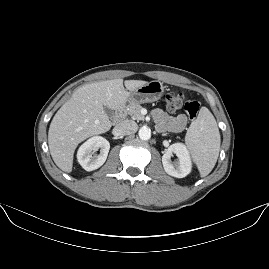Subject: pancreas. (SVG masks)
Segmentation results:
<instances>
[{"mask_svg":"<svg viewBox=\"0 0 269 269\" xmlns=\"http://www.w3.org/2000/svg\"><path fill=\"white\" fill-rule=\"evenodd\" d=\"M142 107L139 104L131 103L127 108L125 115L136 120H144V115L141 113Z\"/></svg>","mask_w":269,"mask_h":269,"instance_id":"1","label":"pancreas"}]
</instances>
